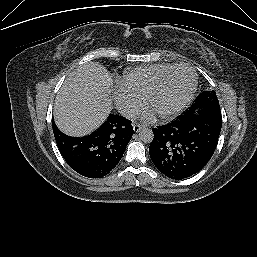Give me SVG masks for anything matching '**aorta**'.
<instances>
[{
  "label": "aorta",
  "mask_w": 257,
  "mask_h": 257,
  "mask_svg": "<svg viewBox=\"0 0 257 257\" xmlns=\"http://www.w3.org/2000/svg\"><path fill=\"white\" fill-rule=\"evenodd\" d=\"M140 139L145 143H151L154 138V134L151 129L143 128L139 132Z\"/></svg>",
  "instance_id": "aorta-1"
}]
</instances>
